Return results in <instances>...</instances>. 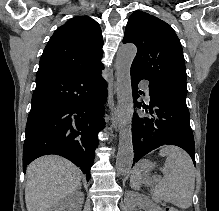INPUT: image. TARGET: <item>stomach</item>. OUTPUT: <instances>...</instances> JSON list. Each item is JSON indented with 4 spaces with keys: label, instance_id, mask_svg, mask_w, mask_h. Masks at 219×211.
Returning a JSON list of instances; mask_svg holds the SVG:
<instances>
[{
    "label": "stomach",
    "instance_id": "1",
    "mask_svg": "<svg viewBox=\"0 0 219 211\" xmlns=\"http://www.w3.org/2000/svg\"><path fill=\"white\" fill-rule=\"evenodd\" d=\"M137 167L143 173H148L153 169L154 165L152 162L143 159L138 163Z\"/></svg>",
    "mask_w": 219,
    "mask_h": 211
}]
</instances>
